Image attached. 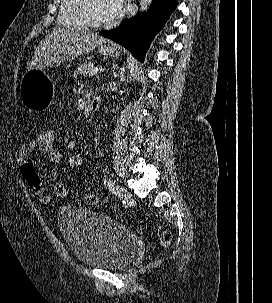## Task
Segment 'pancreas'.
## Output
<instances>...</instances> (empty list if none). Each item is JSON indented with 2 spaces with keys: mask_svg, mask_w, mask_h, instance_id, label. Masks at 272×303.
Masks as SVG:
<instances>
[{
  "mask_svg": "<svg viewBox=\"0 0 272 303\" xmlns=\"http://www.w3.org/2000/svg\"><path fill=\"white\" fill-rule=\"evenodd\" d=\"M94 68V65L90 62L81 64L78 69L74 72V79H77L79 76H86Z\"/></svg>",
  "mask_w": 272,
  "mask_h": 303,
  "instance_id": "cf45deb5",
  "label": "pancreas"
}]
</instances>
